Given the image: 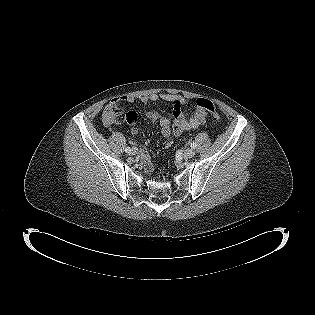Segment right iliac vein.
Listing matches in <instances>:
<instances>
[{
  "label": "right iliac vein",
  "instance_id": "1",
  "mask_svg": "<svg viewBox=\"0 0 315 315\" xmlns=\"http://www.w3.org/2000/svg\"><path fill=\"white\" fill-rule=\"evenodd\" d=\"M137 153V149L136 148H133L131 151H130V154L131 155H135Z\"/></svg>",
  "mask_w": 315,
  "mask_h": 315
}]
</instances>
